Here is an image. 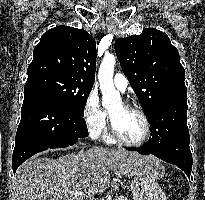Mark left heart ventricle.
<instances>
[{
	"mask_svg": "<svg viewBox=\"0 0 205 200\" xmlns=\"http://www.w3.org/2000/svg\"><path fill=\"white\" fill-rule=\"evenodd\" d=\"M110 116L117 131L124 139L135 142L142 138L145 125L138 113L127 110L119 104L110 110Z\"/></svg>",
	"mask_w": 205,
	"mask_h": 200,
	"instance_id": "1",
	"label": "left heart ventricle"
}]
</instances>
